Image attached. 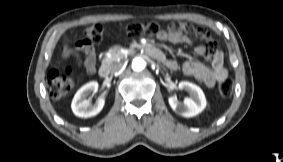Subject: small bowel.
I'll return each instance as SVG.
<instances>
[{"instance_id":"c3829d8e","label":"small bowel","mask_w":283,"mask_h":162,"mask_svg":"<svg viewBox=\"0 0 283 162\" xmlns=\"http://www.w3.org/2000/svg\"><path fill=\"white\" fill-rule=\"evenodd\" d=\"M157 37L162 41H168L173 44L195 45L194 37L207 39L206 46L195 45L194 52L200 57H209L211 65L208 66L197 60H190L183 64V73L202 82L207 87H214L217 83L227 79L228 72L224 65V58L221 51H218L215 40L209 38L208 31L205 28H193L184 23H172L166 30H162ZM76 59L84 66L89 74L96 71V54L91 43L86 40H80L76 43ZM81 54L84 59H81ZM162 62L171 70L177 68V62L166 58Z\"/></svg>"}]
</instances>
